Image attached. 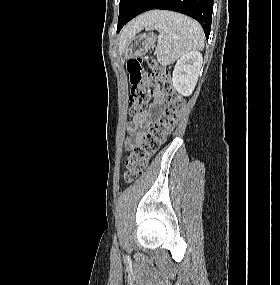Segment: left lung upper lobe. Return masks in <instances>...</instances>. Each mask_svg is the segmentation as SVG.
Listing matches in <instances>:
<instances>
[{
    "mask_svg": "<svg viewBox=\"0 0 280 285\" xmlns=\"http://www.w3.org/2000/svg\"><path fill=\"white\" fill-rule=\"evenodd\" d=\"M136 2L137 0H120V5H119L120 10H119L117 29L126 21Z\"/></svg>",
    "mask_w": 280,
    "mask_h": 285,
    "instance_id": "obj_1",
    "label": "left lung upper lobe"
}]
</instances>
